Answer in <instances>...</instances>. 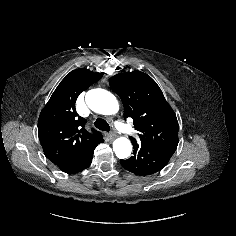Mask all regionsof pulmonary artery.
<instances>
[{"mask_svg":"<svg viewBox=\"0 0 236 236\" xmlns=\"http://www.w3.org/2000/svg\"><path fill=\"white\" fill-rule=\"evenodd\" d=\"M116 127L121 132H124L126 130L125 125L121 122H116Z\"/></svg>","mask_w":236,"mask_h":236,"instance_id":"1","label":"pulmonary artery"}]
</instances>
